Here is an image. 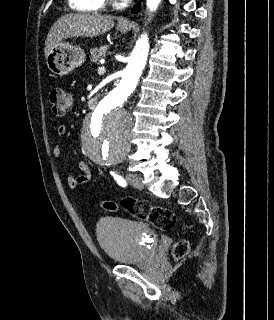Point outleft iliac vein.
Masks as SVG:
<instances>
[{"label": "left iliac vein", "instance_id": "left-iliac-vein-1", "mask_svg": "<svg viewBox=\"0 0 274 320\" xmlns=\"http://www.w3.org/2000/svg\"><path fill=\"white\" fill-rule=\"evenodd\" d=\"M126 179L129 182V184L132 185L133 187L137 189H143L144 185H143L142 177L140 175L134 174V173H127Z\"/></svg>", "mask_w": 274, "mask_h": 320}]
</instances>
